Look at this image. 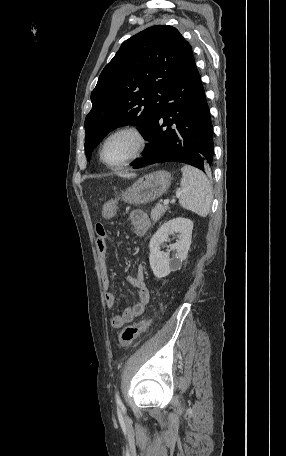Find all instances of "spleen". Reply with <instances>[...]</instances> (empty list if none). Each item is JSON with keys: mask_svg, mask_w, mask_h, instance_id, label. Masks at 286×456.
Listing matches in <instances>:
<instances>
[{"mask_svg": "<svg viewBox=\"0 0 286 456\" xmlns=\"http://www.w3.org/2000/svg\"><path fill=\"white\" fill-rule=\"evenodd\" d=\"M181 171L180 205L201 217H206L212 202V187L209 180L203 172L188 165L183 166Z\"/></svg>", "mask_w": 286, "mask_h": 456, "instance_id": "spleen-1", "label": "spleen"}]
</instances>
